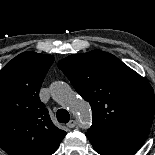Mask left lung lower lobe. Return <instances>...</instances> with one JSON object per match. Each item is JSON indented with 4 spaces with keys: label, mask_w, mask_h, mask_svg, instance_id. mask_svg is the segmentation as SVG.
<instances>
[{
    "label": "left lung lower lobe",
    "mask_w": 155,
    "mask_h": 155,
    "mask_svg": "<svg viewBox=\"0 0 155 155\" xmlns=\"http://www.w3.org/2000/svg\"><path fill=\"white\" fill-rule=\"evenodd\" d=\"M149 129L125 130L110 134L86 133L101 155H132L143 145Z\"/></svg>",
    "instance_id": "left-lung-lower-lobe-1"
}]
</instances>
